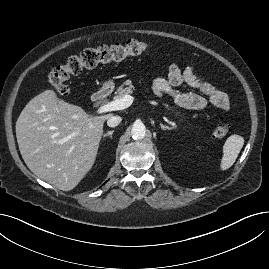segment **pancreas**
<instances>
[{"instance_id":"pancreas-1","label":"pancreas","mask_w":269,"mask_h":269,"mask_svg":"<svg viewBox=\"0 0 269 269\" xmlns=\"http://www.w3.org/2000/svg\"><path fill=\"white\" fill-rule=\"evenodd\" d=\"M134 86L132 85L130 80H127L121 85L116 92L115 98H122L123 96L127 94H131L133 92ZM165 107L172 110L173 108L169 106L168 104H165ZM179 112L176 113V116H179Z\"/></svg>"}]
</instances>
